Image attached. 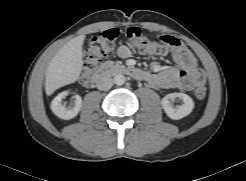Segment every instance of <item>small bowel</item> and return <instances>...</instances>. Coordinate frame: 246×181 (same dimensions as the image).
I'll return each mask as SVG.
<instances>
[{
  "mask_svg": "<svg viewBox=\"0 0 246 181\" xmlns=\"http://www.w3.org/2000/svg\"><path fill=\"white\" fill-rule=\"evenodd\" d=\"M117 53L123 59L132 56V50L128 45L120 46ZM170 53L177 67L164 68L157 73L143 71L144 77L142 80L151 86L161 89L179 88L191 90L195 86L204 85V73L198 68L193 54L181 42L177 49L170 48Z\"/></svg>",
  "mask_w": 246,
  "mask_h": 181,
  "instance_id": "1",
  "label": "small bowel"
}]
</instances>
